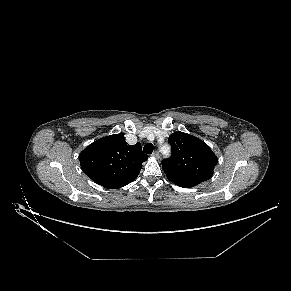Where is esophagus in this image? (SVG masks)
<instances>
[{
	"mask_svg": "<svg viewBox=\"0 0 291 291\" xmlns=\"http://www.w3.org/2000/svg\"><path fill=\"white\" fill-rule=\"evenodd\" d=\"M152 156L155 157L156 159H159V158H160V154H159L158 151H154V152L152 153Z\"/></svg>",
	"mask_w": 291,
	"mask_h": 291,
	"instance_id": "34e87169",
	"label": "esophagus"
}]
</instances>
